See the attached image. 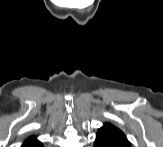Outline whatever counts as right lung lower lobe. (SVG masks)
<instances>
[{"instance_id":"1","label":"right lung lower lobe","mask_w":163,"mask_h":147,"mask_svg":"<svg viewBox=\"0 0 163 147\" xmlns=\"http://www.w3.org/2000/svg\"><path fill=\"white\" fill-rule=\"evenodd\" d=\"M22 147H43V144L38 140H35L34 137L27 139Z\"/></svg>"}]
</instances>
